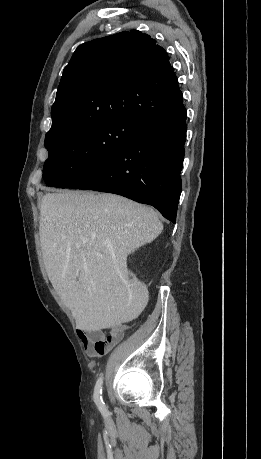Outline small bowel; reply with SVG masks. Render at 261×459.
Listing matches in <instances>:
<instances>
[{"label": "small bowel", "instance_id": "obj_1", "mask_svg": "<svg viewBox=\"0 0 261 459\" xmlns=\"http://www.w3.org/2000/svg\"><path fill=\"white\" fill-rule=\"evenodd\" d=\"M86 353L97 357L107 353L118 344L124 336L123 330H113L108 335L98 326L86 324L77 331Z\"/></svg>", "mask_w": 261, "mask_h": 459}]
</instances>
